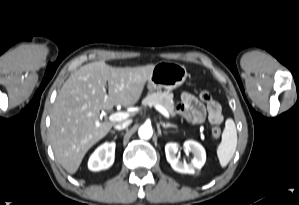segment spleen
Instances as JSON below:
<instances>
[{
  "mask_svg": "<svg viewBox=\"0 0 299 205\" xmlns=\"http://www.w3.org/2000/svg\"><path fill=\"white\" fill-rule=\"evenodd\" d=\"M237 147V131L232 119H228L222 135V141L217 148L220 166L226 167L232 159Z\"/></svg>",
  "mask_w": 299,
  "mask_h": 205,
  "instance_id": "obj_1",
  "label": "spleen"
}]
</instances>
